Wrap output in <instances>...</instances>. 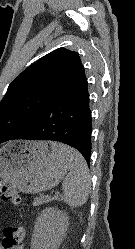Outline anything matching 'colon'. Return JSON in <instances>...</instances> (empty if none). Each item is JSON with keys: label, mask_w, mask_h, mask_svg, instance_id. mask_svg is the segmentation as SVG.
<instances>
[{"label": "colon", "mask_w": 135, "mask_h": 249, "mask_svg": "<svg viewBox=\"0 0 135 249\" xmlns=\"http://www.w3.org/2000/svg\"><path fill=\"white\" fill-rule=\"evenodd\" d=\"M0 196L6 201L20 204L16 189L10 184L0 180ZM26 229L22 226H10L4 229L1 246L2 249H23Z\"/></svg>", "instance_id": "1"}]
</instances>
